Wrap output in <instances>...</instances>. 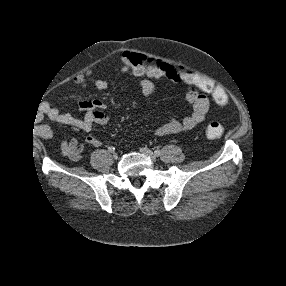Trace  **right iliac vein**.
<instances>
[{
  "label": "right iliac vein",
  "instance_id": "1",
  "mask_svg": "<svg viewBox=\"0 0 286 286\" xmlns=\"http://www.w3.org/2000/svg\"><path fill=\"white\" fill-rule=\"evenodd\" d=\"M113 158L117 159L118 158V154L117 153H113Z\"/></svg>",
  "mask_w": 286,
  "mask_h": 286
}]
</instances>
